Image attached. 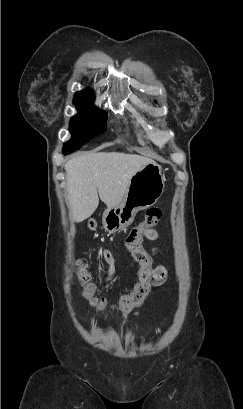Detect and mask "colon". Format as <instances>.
Masks as SVG:
<instances>
[{"mask_svg": "<svg viewBox=\"0 0 243 409\" xmlns=\"http://www.w3.org/2000/svg\"><path fill=\"white\" fill-rule=\"evenodd\" d=\"M162 210L159 207H150L146 211L145 219L139 225L134 227L125 238V247L127 250L137 259L144 258V252L142 249V238L146 230L151 229L161 219ZM76 275L79 283L83 288V294L85 297L91 299L93 305L99 309L108 307L105 300L94 298L95 287L90 279V273L87 265L83 261L76 263ZM148 294V290L144 286H136L134 290L123 296L113 308L116 310H127L132 306L141 304Z\"/></svg>", "mask_w": 243, "mask_h": 409, "instance_id": "1", "label": "colon"}]
</instances>
